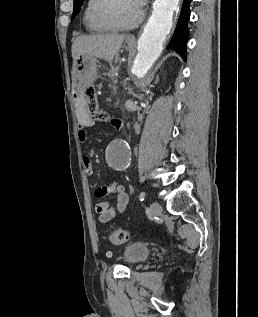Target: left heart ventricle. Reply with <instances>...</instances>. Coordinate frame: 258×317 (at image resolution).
<instances>
[{"mask_svg":"<svg viewBox=\"0 0 258 317\" xmlns=\"http://www.w3.org/2000/svg\"><path fill=\"white\" fill-rule=\"evenodd\" d=\"M109 15L118 26L128 28L137 19V9L129 2H121L110 10Z\"/></svg>","mask_w":258,"mask_h":317,"instance_id":"obj_1","label":"left heart ventricle"}]
</instances>
